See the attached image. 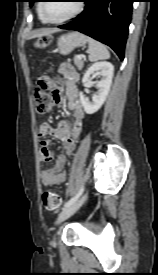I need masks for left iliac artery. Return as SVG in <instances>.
Listing matches in <instances>:
<instances>
[{
  "mask_svg": "<svg viewBox=\"0 0 158 275\" xmlns=\"http://www.w3.org/2000/svg\"><path fill=\"white\" fill-rule=\"evenodd\" d=\"M83 192V187L79 190V192L74 196L72 197L70 200H68L65 204H64V207H68L70 206L71 204H73L74 202H76L78 200V198L81 196Z\"/></svg>",
  "mask_w": 158,
  "mask_h": 275,
  "instance_id": "1",
  "label": "left iliac artery"
}]
</instances>
